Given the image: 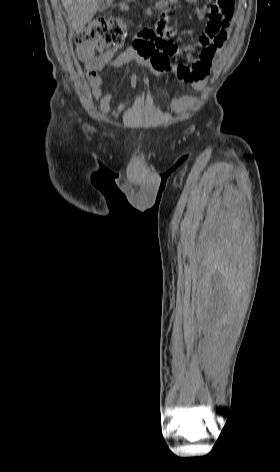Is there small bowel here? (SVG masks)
Instances as JSON below:
<instances>
[{"instance_id": "1", "label": "small bowel", "mask_w": 280, "mask_h": 472, "mask_svg": "<svg viewBox=\"0 0 280 472\" xmlns=\"http://www.w3.org/2000/svg\"><path fill=\"white\" fill-rule=\"evenodd\" d=\"M184 1L195 3L197 0ZM208 12L209 9L205 6L197 7L195 10L200 21L205 20ZM227 25L228 23L214 25L208 20L197 41L189 43L183 50L171 40L175 33L174 29L168 26L167 21L159 20L154 28L141 30L136 35L133 46L116 58H112L109 52H104L101 48L95 50L78 45L76 51L84 64L85 75L93 96L99 101L100 109L107 113L111 108L112 93L104 91L103 78L98 74L100 70L105 67L124 68L136 63L146 67L153 75L173 74L178 82L187 83L194 90H203L207 84L213 58L227 38ZM178 55H183L187 63L172 64L171 59ZM128 81L134 88L138 81L137 74L131 73ZM196 100L197 98L192 95L174 99L171 103L172 110L180 114L193 106ZM125 105L126 101L119 105V113L123 112Z\"/></svg>"}]
</instances>
